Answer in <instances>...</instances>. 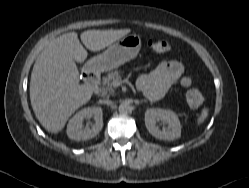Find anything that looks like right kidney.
<instances>
[{
	"mask_svg": "<svg viewBox=\"0 0 249 188\" xmlns=\"http://www.w3.org/2000/svg\"><path fill=\"white\" fill-rule=\"evenodd\" d=\"M94 118L91 128H83L84 119ZM103 128V112L100 107H88L80 110L69 121L67 135L72 140H88L95 137Z\"/></svg>",
	"mask_w": 249,
	"mask_h": 188,
	"instance_id": "obj_1",
	"label": "right kidney"
}]
</instances>
